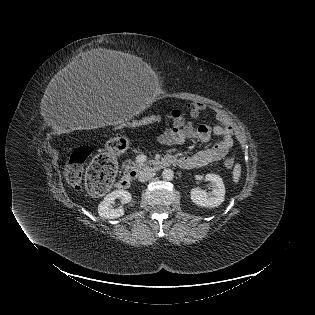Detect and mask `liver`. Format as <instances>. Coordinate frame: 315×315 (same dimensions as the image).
<instances>
[{"label": "liver", "mask_w": 315, "mask_h": 315, "mask_svg": "<svg viewBox=\"0 0 315 315\" xmlns=\"http://www.w3.org/2000/svg\"><path fill=\"white\" fill-rule=\"evenodd\" d=\"M135 61V57L128 53L99 49L66 69L63 76L71 80H95L97 77L117 79L128 73Z\"/></svg>", "instance_id": "liver-1"}]
</instances>
